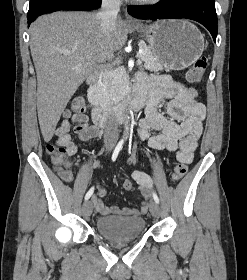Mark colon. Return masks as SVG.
<instances>
[{"label":"colon","instance_id":"colon-1","mask_svg":"<svg viewBox=\"0 0 247 280\" xmlns=\"http://www.w3.org/2000/svg\"><path fill=\"white\" fill-rule=\"evenodd\" d=\"M207 62L206 59L201 58L196 60L187 73V79L189 82L196 83L199 82L206 70ZM70 109L75 115H83L85 111V105L82 99L76 98L70 104ZM48 154L51 157L52 163L58 169L59 175L65 178L69 174L67 169V151L61 144L49 143L46 147ZM187 173V166L180 163L175 166L172 172V180L179 181ZM123 187L125 190H132L133 183L131 180H125L123 182Z\"/></svg>","mask_w":247,"mask_h":280}]
</instances>
